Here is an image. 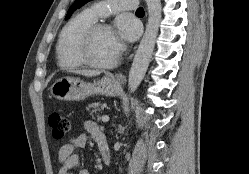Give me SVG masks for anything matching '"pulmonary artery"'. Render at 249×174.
<instances>
[{
    "mask_svg": "<svg viewBox=\"0 0 249 174\" xmlns=\"http://www.w3.org/2000/svg\"><path fill=\"white\" fill-rule=\"evenodd\" d=\"M138 0H102L95 2L86 9L88 14L95 21L99 17H104L117 11H133L136 9Z\"/></svg>",
    "mask_w": 249,
    "mask_h": 174,
    "instance_id": "1",
    "label": "pulmonary artery"
}]
</instances>
